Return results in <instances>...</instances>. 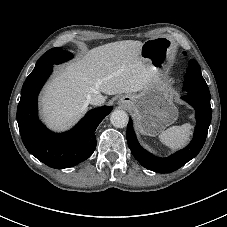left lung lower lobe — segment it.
<instances>
[{"instance_id": "1", "label": "left lung lower lobe", "mask_w": 227, "mask_h": 227, "mask_svg": "<svg viewBox=\"0 0 227 227\" xmlns=\"http://www.w3.org/2000/svg\"><path fill=\"white\" fill-rule=\"evenodd\" d=\"M182 99L193 106L196 111L197 125L195 127L194 138L187 147L168 158L156 157L143 149L136 139L132 120L129 119L126 136L127 143L133 156L145 168L155 172L170 173L185 165L202 149L212 117L210 99L188 94L182 96Z\"/></svg>"}]
</instances>
